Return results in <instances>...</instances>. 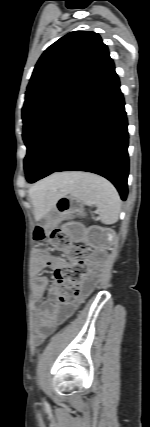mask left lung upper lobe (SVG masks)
Here are the masks:
<instances>
[{
  "label": "left lung upper lobe",
  "mask_w": 150,
  "mask_h": 427,
  "mask_svg": "<svg viewBox=\"0 0 150 427\" xmlns=\"http://www.w3.org/2000/svg\"><path fill=\"white\" fill-rule=\"evenodd\" d=\"M112 62L100 36L89 31L68 33L45 50L32 73L22 109L27 152L47 122Z\"/></svg>",
  "instance_id": "5c2ea615"
}]
</instances>
